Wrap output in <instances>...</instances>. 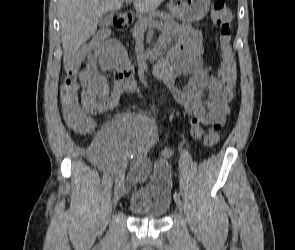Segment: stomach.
<instances>
[{
    "mask_svg": "<svg viewBox=\"0 0 295 250\" xmlns=\"http://www.w3.org/2000/svg\"><path fill=\"white\" fill-rule=\"evenodd\" d=\"M210 0H169L171 14L180 20L195 22L209 11Z\"/></svg>",
    "mask_w": 295,
    "mask_h": 250,
    "instance_id": "0dacf381",
    "label": "stomach"
}]
</instances>
